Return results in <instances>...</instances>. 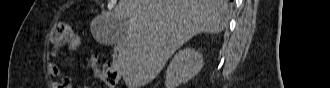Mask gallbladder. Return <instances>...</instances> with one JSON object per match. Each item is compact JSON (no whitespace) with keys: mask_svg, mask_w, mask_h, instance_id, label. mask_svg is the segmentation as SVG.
<instances>
[{"mask_svg":"<svg viewBox=\"0 0 330 88\" xmlns=\"http://www.w3.org/2000/svg\"><path fill=\"white\" fill-rule=\"evenodd\" d=\"M127 24L128 23L126 21H124V23H123V29H126L127 28ZM117 28L118 27H117V25L115 23L111 24L110 27H109V29H107V35L110 36V34H112L115 30H117ZM111 44H115V43L113 42Z\"/></svg>","mask_w":330,"mask_h":88,"instance_id":"obj_1","label":"gallbladder"}]
</instances>
